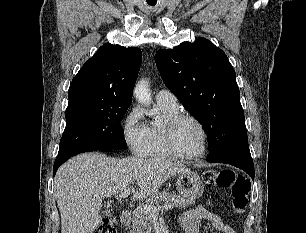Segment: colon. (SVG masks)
Masks as SVG:
<instances>
[{
    "instance_id": "obj_1",
    "label": "colon",
    "mask_w": 306,
    "mask_h": 233,
    "mask_svg": "<svg viewBox=\"0 0 306 233\" xmlns=\"http://www.w3.org/2000/svg\"><path fill=\"white\" fill-rule=\"evenodd\" d=\"M203 178L208 186L231 190L232 208L236 214L246 211L251 189V182L246 176L233 169H220L204 172ZM94 233H117L115 220L104 219Z\"/></svg>"
}]
</instances>
